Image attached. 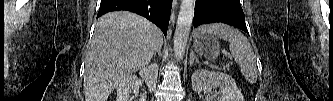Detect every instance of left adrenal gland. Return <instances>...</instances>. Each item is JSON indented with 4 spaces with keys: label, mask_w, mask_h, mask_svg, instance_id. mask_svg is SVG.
<instances>
[{
    "label": "left adrenal gland",
    "mask_w": 333,
    "mask_h": 101,
    "mask_svg": "<svg viewBox=\"0 0 333 101\" xmlns=\"http://www.w3.org/2000/svg\"><path fill=\"white\" fill-rule=\"evenodd\" d=\"M194 61H196V63L199 64V60H198V58L195 56L193 50H191V53H190V61H189L190 66H192V65L194 64Z\"/></svg>",
    "instance_id": "obj_1"
}]
</instances>
